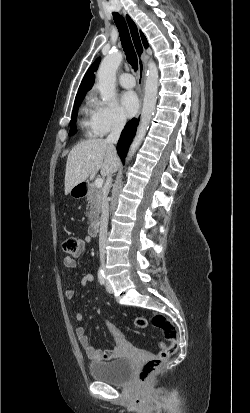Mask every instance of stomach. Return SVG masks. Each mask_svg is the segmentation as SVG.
I'll return each instance as SVG.
<instances>
[{"label": "stomach", "mask_w": 250, "mask_h": 413, "mask_svg": "<svg viewBox=\"0 0 250 413\" xmlns=\"http://www.w3.org/2000/svg\"><path fill=\"white\" fill-rule=\"evenodd\" d=\"M80 184H81V183H80ZM78 186H79V184L76 185L75 187H73V188L71 189V191H70V194H71L73 197H76V198L82 197V196H84V195L86 194V185H85L84 187H82V188H79Z\"/></svg>", "instance_id": "0dacf381"}]
</instances>
